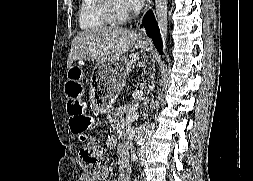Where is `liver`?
Returning a JSON list of instances; mask_svg holds the SVG:
<instances>
[{
  "mask_svg": "<svg viewBox=\"0 0 253 181\" xmlns=\"http://www.w3.org/2000/svg\"><path fill=\"white\" fill-rule=\"evenodd\" d=\"M137 38L134 31L116 26L84 30L71 43L67 68L75 61L105 63L121 59Z\"/></svg>",
  "mask_w": 253,
  "mask_h": 181,
  "instance_id": "6515ba94",
  "label": "liver"
}]
</instances>
